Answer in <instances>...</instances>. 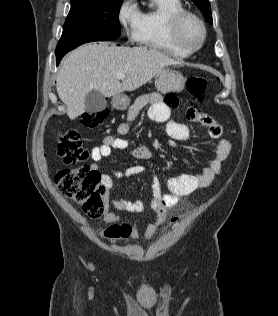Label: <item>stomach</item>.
Here are the masks:
<instances>
[{"mask_svg": "<svg viewBox=\"0 0 278 316\" xmlns=\"http://www.w3.org/2000/svg\"><path fill=\"white\" fill-rule=\"evenodd\" d=\"M185 79L180 72L163 68L155 77V86L161 93L180 92L184 88ZM112 106L118 110H125L130 99L126 95L118 94L112 98Z\"/></svg>", "mask_w": 278, "mask_h": 316, "instance_id": "0dacf381", "label": "stomach"}]
</instances>
